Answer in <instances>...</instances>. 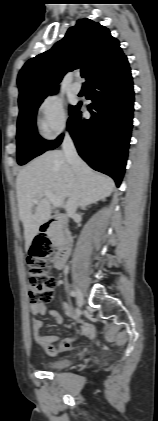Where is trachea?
Here are the masks:
<instances>
[{
    "label": "trachea",
    "instance_id": "1",
    "mask_svg": "<svg viewBox=\"0 0 158 421\" xmlns=\"http://www.w3.org/2000/svg\"><path fill=\"white\" fill-rule=\"evenodd\" d=\"M85 75H86V74H85V72H82V73H81L82 78H84V77H85Z\"/></svg>",
    "mask_w": 158,
    "mask_h": 421
}]
</instances>
